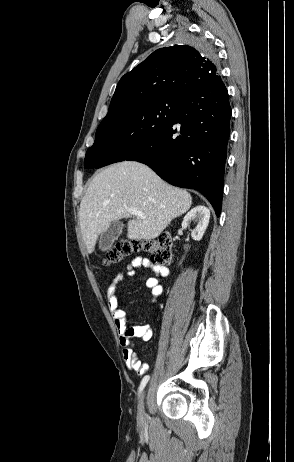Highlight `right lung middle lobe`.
<instances>
[{
  "instance_id": "obj_1",
  "label": "right lung middle lobe",
  "mask_w": 294,
  "mask_h": 462,
  "mask_svg": "<svg viewBox=\"0 0 294 462\" xmlns=\"http://www.w3.org/2000/svg\"><path fill=\"white\" fill-rule=\"evenodd\" d=\"M179 42L199 51L214 53L211 44L202 36L183 33ZM182 101V96L165 95L107 114L97 128L95 142L87 150L86 157L99 153L105 165L124 161L171 121Z\"/></svg>"
}]
</instances>
